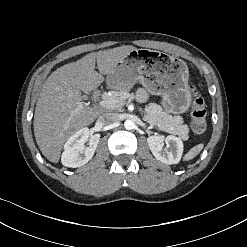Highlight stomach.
<instances>
[{"mask_svg": "<svg viewBox=\"0 0 247 247\" xmlns=\"http://www.w3.org/2000/svg\"><path fill=\"white\" fill-rule=\"evenodd\" d=\"M188 77V67L182 60L155 50L137 49L117 63L106 81L115 90H129L140 82L150 93L162 96L168 113L178 115L191 104Z\"/></svg>", "mask_w": 247, "mask_h": 247, "instance_id": "0dacf381", "label": "stomach"}]
</instances>
